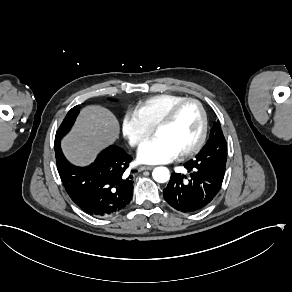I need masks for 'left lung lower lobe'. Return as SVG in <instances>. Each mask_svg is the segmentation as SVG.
<instances>
[{"label": "left lung lower lobe", "instance_id": "left-lung-lower-lobe-1", "mask_svg": "<svg viewBox=\"0 0 292 292\" xmlns=\"http://www.w3.org/2000/svg\"><path fill=\"white\" fill-rule=\"evenodd\" d=\"M190 173L187 176L172 173L163 195L167 203L174 209L192 213L207 206L219 192L225 169H207L190 160L184 164Z\"/></svg>", "mask_w": 292, "mask_h": 292}]
</instances>
